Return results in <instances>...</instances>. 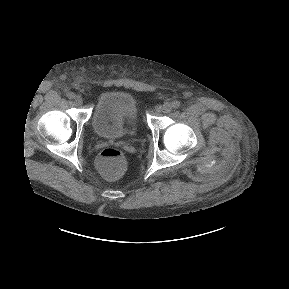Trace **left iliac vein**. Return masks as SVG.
I'll return each instance as SVG.
<instances>
[{"label": "left iliac vein", "instance_id": "obj_1", "mask_svg": "<svg viewBox=\"0 0 289 289\" xmlns=\"http://www.w3.org/2000/svg\"><path fill=\"white\" fill-rule=\"evenodd\" d=\"M172 110V105L168 102L164 103L162 106H161V111L163 113H169L170 111Z\"/></svg>", "mask_w": 289, "mask_h": 289}]
</instances>
